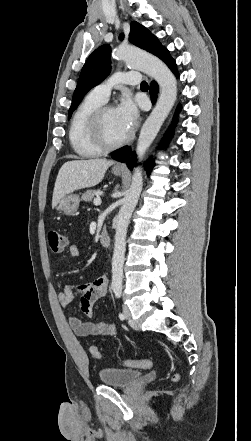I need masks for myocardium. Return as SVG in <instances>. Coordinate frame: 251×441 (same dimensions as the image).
<instances>
[{"label": "myocardium", "mask_w": 251, "mask_h": 441, "mask_svg": "<svg viewBox=\"0 0 251 441\" xmlns=\"http://www.w3.org/2000/svg\"><path fill=\"white\" fill-rule=\"evenodd\" d=\"M111 108H114L111 104H106V103L102 104L94 111L89 122V130H90L91 138L94 141V143L103 151H109L119 148L124 144H126L131 139L130 133H128L125 137L115 142H111L107 139L104 132L103 121L106 112Z\"/></svg>", "instance_id": "1"}]
</instances>
